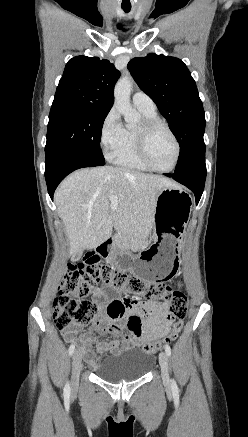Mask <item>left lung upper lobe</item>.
<instances>
[{
  "mask_svg": "<svg viewBox=\"0 0 248 437\" xmlns=\"http://www.w3.org/2000/svg\"><path fill=\"white\" fill-rule=\"evenodd\" d=\"M128 69L138 86L157 105L180 146L175 172L205 155V116L196 83L178 58L148 54L134 58Z\"/></svg>",
  "mask_w": 248,
  "mask_h": 437,
  "instance_id": "1",
  "label": "left lung upper lobe"
}]
</instances>
